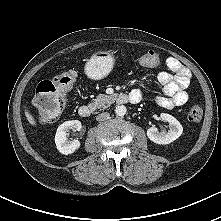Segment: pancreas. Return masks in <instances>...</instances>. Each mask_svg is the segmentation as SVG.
<instances>
[{"label":"pancreas","instance_id":"cf45deb5","mask_svg":"<svg viewBox=\"0 0 221 221\" xmlns=\"http://www.w3.org/2000/svg\"><path fill=\"white\" fill-rule=\"evenodd\" d=\"M115 100V95L99 94L93 102V106L100 108L109 107Z\"/></svg>","mask_w":221,"mask_h":221}]
</instances>
